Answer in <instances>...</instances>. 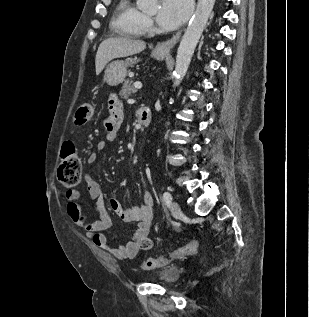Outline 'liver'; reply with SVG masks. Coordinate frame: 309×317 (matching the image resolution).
Here are the masks:
<instances>
[{
	"mask_svg": "<svg viewBox=\"0 0 309 317\" xmlns=\"http://www.w3.org/2000/svg\"><path fill=\"white\" fill-rule=\"evenodd\" d=\"M145 48L146 43L140 40L125 37L105 39L97 50L95 58L96 75H99L112 59L137 54Z\"/></svg>",
	"mask_w": 309,
	"mask_h": 317,
	"instance_id": "liver-1",
	"label": "liver"
}]
</instances>
